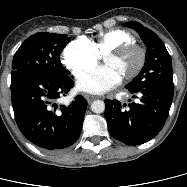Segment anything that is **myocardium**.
Listing matches in <instances>:
<instances>
[{
    "mask_svg": "<svg viewBox=\"0 0 187 187\" xmlns=\"http://www.w3.org/2000/svg\"><path fill=\"white\" fill-rule=\"evenodd\" d=\"M129 51H137L139 54V59H138V63L136 67L130 73H128L127 75L123 77L124 80H131L140 74L146 62L145 49L137 43H124L107 51L103 55L104 58L107 56L119 57Z\"/></svg>",
    "mask_w": 187,
    "mask_h": 187,
    "instance_id": "1",
    "label": "myocardium"
}]
</instances>
